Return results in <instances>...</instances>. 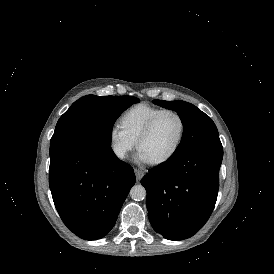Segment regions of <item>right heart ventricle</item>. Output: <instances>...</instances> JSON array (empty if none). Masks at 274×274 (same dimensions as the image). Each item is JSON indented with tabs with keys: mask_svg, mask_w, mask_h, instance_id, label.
Returning <instances> with one entry per match:
<instances>
[{
	"mask_svg": "<svg viewBox=\"0 0 274 274\" xmlns=\"http://www.w3.org/2000/svg\"><path fill=\"white\" fill-rule=\"evenodd\" d=\"M162 109L148 104H138L125 111L119 121L122 129L135 140L147 123Z\"/></svg>",
	"mask_w": 274,
	"mask_h": 274,
	"instance_id": "obj_1",
	"label": "right heart ventricle"
}]
</instances>
